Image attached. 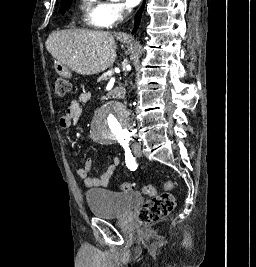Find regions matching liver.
<instances>
[{
  "label": "liver",
  "instance_id": "obj_1",
  "mask_svg": "<svg viewBox=\"0 0 256 267\" xmlns=\"http://www.w3.org/2000/svg\"><path fill=\"white\" fill-rule=\"evenodd\" d=\"M116 38L129 40L128 36ZM46 48L58 64L82 76L104 72L116 60L115 38L110 32L58 30L47 38Z\"/></svg>",
  "mask_w": 256,
  "mask_h": 267
}]
</instances>
